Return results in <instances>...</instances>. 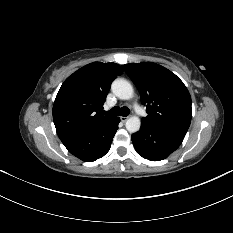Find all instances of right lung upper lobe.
<instances>
[{"mask_svg":"<svg viewBox=\"0 0 233 233\" xmlns=\"http://www.w3.org/2000/svg\"><path fill=\"white\" fill-rule=\"evenodd\" d=\"M122 72L116 63L93 62L64 81L53 105V121L60 140L114 118L104 116L102 105L112 81Z\"/></svg>","mask_w":233,"mask_h":233,"instance_id":"cb5924a9","label":"right lung upper lobe"}]
</instances>
